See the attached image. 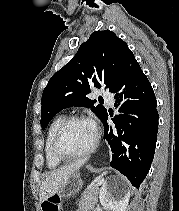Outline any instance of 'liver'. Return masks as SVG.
I'll return each mask as SVG.
<instances>
[{
	"instance_id": "liver-1",
	"label": "liver",
	"mask_w": 179,
	"mask_h": 211,
	"mask_svg": "<svg viewBox=\"0 0 179 211\" xmlns=\"http://www.w3.org/2000/svg\"><path fill=\"white\" fill-rule=\"evenodd\" d=\"M84 161H77L50 172L40 186V202L56 194L71 174L78 172Z\"/></svg>"
}]
</instances>
